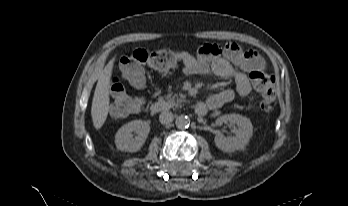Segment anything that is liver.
<instances>
[{"mask_svg": "<svg viewBox=\"0 0 348 206\" xmlns=\"http://www.w3.org/2000/svg\"><path fill=\"white\" fill-rule=\"evenodd\" d=\"M114 61L115 57H113L103 69L95 88L91 107V116L93 125L96 129H100L103 126L108 116L110 79L112 76Z\"/></svg>", "mask_w": 348, "mask_h": 206, "instance_id": "1", "label": "liver"}]
</instances>
